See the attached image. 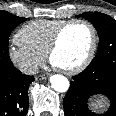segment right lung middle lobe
<instances>
[{
    "instance_id": "dd1d6c3e",
    "label": "right lung middle lobe",
    "mask_w": 116,
    "mask_h": 116,
    "mask_svg": "<svg viewBox=\"0 0 116 116\" xmlns=\"http://www.w3.org/2000/svg\"><path fill=\"white\" fill-rule=\"evenodd\" d=\"M25 20L26 18L0 10V70L13 65L8 52L9 36L11 31Z\"/></svg>"
}]
</instances>
